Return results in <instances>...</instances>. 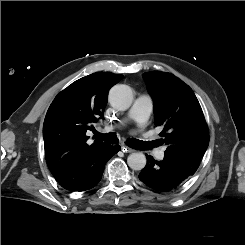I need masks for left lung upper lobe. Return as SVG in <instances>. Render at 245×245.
Here are the masks:
<instances>
[{
	"label": "left lung upper lobe",
	"instance_id": "left-lung-upper-lobe-1",
	"mask_svg": "<svg viewBox=\"0 0 245 245\" xmlns=\"http://www.w3.org/2000/svg\"><path fill=\"white\" fill-rule=\"evenodd\" d=\"M143 76L154 98L155 124L163 127L160 135L168 146L165 154L200 164L209 144V130L194 92L170 73L153 71Z\"/></svg>",
	"mask_w": 245,
	"mask_h": 245
}]
</instances>
